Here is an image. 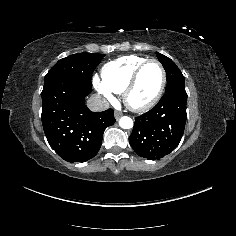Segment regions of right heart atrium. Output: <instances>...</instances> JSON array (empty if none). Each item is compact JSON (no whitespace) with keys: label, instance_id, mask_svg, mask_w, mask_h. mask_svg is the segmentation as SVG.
I'll return each instance as SVG.
<instances>
[{"label":"right heart atrium","instance_id":"right-heart-atrium-1","mask_svg":"<svg viewBox=\"0 0 236 236\" xmlns=\"http://www.w3.org/2000/svg\"><path fill=\"white\" fill-rule=\"evenodd\" d=\"M92 84L95 90L102 95L105 99L111 100L113 98V94L110 90H108L100 78L95 74L92 77Z\"/></svg>","mask_w":236,"mask_h":236}]
</instances>
